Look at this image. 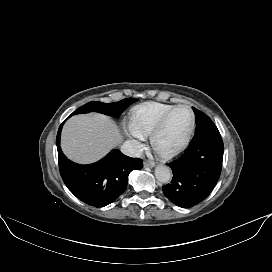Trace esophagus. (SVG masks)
I'll return each instance as SVG.
<instances>
[{
  "label": "esophagus",
  "instance_id": "obj_1",
  "mask_svg": "<svg viewBox=\"0 0 272 272\" xmlns=\"http://www.w3.org/2000/svg\"><path fill=\"white\" fill-rule=\"evenodd\" d=\"M144 166L149 167V168H153L155 166V163L153 161H150V160H145L144 161Z\"/></svg>",
  "mask_w": 272,
  "mask_h": 272
}]
</instances>
